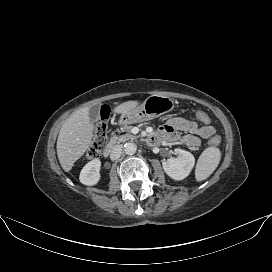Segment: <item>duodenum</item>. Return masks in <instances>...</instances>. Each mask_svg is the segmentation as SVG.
<instances>
[{"mask_svg":"<svg viewBox=\"0 0 272 272\" xmlns=\"http://www.w3.org/2000/svg\"><path fill=\"white\" fill-rule=\"evenodd\" d=\"M151 141V137L149 139ZM114 147V142H110L109 145L106 147V149L104 150V156L105 157H108L112 151Z\"/></svg>","mask_w":272,"mask_h":272,"instance_id":"duodenum-1","label":"duodenum"}]
</instances>
